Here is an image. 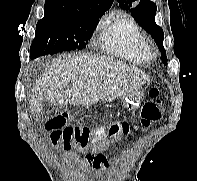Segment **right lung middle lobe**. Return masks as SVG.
Wrapping results in <instances>:
<instances>
[{"instance_id":"1","label":"right lung middle lobe","mask_w":197,"mask_h":181,"mask_svg":"<svg viewBox=\"0 0 197 181\" xmlns=\"http://www.w3.org/2000/svg\"><path fill=\"white\" fill-rule=\"evenodd\" d=\"M103 14L66 17L45 13L36 25L31 58L86 47Z\"/></svg>"}]
</instances>
